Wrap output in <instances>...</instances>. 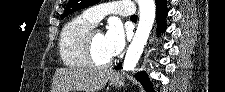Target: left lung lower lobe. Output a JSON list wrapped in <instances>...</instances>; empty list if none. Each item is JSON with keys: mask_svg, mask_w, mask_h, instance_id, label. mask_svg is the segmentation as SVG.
Wrapping results in <instances>:
<instances>
[{"mask_svg": "<svg viewBox=\"0 0 225 92\" xmlns=\"http://www.w3.org/2000/svg\"><path fill=\"white\" fill-rule=\"evenodd\" d=\"M156 2V13H157V25H158V32H160L161 29L165 27L164 20L168 14L167 8H166V0H155ZM122 64H118L114 69H121ZM136 78L141 81V83L146 87L148 91H153L151 84L147 78V75L145 72H139L136 74Z\"/></svg>", "mask_w": 225, "mask_h": 92, "instance_id": "left-lung-lower-lobe-1", "label": "left lung lower lobe"}]
</instances>
